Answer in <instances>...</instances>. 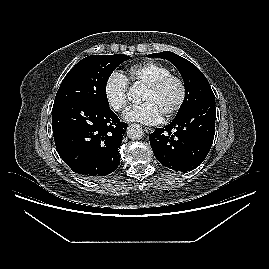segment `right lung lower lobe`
Segmentation results:
<instances>
[{
  "label": "right lung lower lobe",
  "instance_id": "right-lung-lower-lobe-1",
  "mask_svg": "<svg viewBox=\"0 0 269 269\" xmlns=\"http://www.w3.org/2000/svg\"><path fill=\"white\" fill-rule=\"evenodd\" d=\"M126 128L110 108L79 101L53 105L52 129L58 154L75 173L88 179L117 169Z\"/></svg>",
  "mask_w": 269,
  "mask_h": 269
}]
</instances>
